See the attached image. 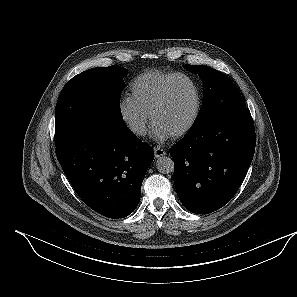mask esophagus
Wrapping results in <instances>:
<instances>
[{
    "instance_id": "1",
    "label": "esophagus",
    "mask_w": 297,
    "mask_h": 297,
    "mask_svg": "<svg viewBox=\"0 0 297 297\" xmlns=\"http://www.w3.org/2000/svg\"><path fill=\"white\" fill-rule=\"evenodd\" d=\"M154 155H155V158H160L166 155V151L161 147H154Z\"/></svg>"
}]
</instances>
